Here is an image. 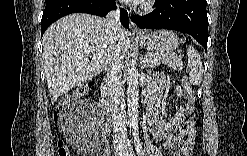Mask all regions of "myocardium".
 <instances>
[{"label":"myocardium","mask_w":247,"mask_h":156,"mask_svg":"<svg viewBox=\"0 0 247 156\" xmlns=\"http://www.w3.org/2000/svg\"><path fill=\"white\" fill-rule=\"evenodd\" d=\"M150 7H151V3H145L142 7V10L147 12L149 11Z\"/></svg>","instance_id":"myocardium-1"}]
</instances>
